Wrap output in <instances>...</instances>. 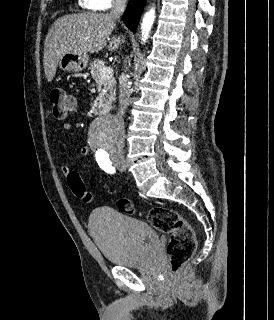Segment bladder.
Wrapping results in <instances>:
<instances>
[{"label":"bladder","mask_w":274,"mask_h":320,"mask_svg":"<svg viewBox=\"0 0 274 320\" xmlns=\"http://www.w3.org/2000/svg\"><path fill=\"white\" fill-rule=\"evenodd\" d=\"M88 229L104 259L113 265H142L159 247V237L150 225L113 208L94 210Z\"/></svg>","instance_id":"bladder-1"}]
</instances>
